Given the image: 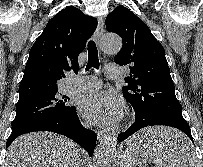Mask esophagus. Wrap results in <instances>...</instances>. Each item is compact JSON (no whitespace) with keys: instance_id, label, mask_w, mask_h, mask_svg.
Returning <instances> with one entry per match:
<instances>
[{"instance_id":"34e87169","label":"esophagus","mask_w":203,"mask_h":167,"mask_svg":"<svg viewBox=\"0 0 203 167\" xmlns=\"http://www.w3.org/2000/svg\"><path fill=\"white\" fill-rule=\"evenodd\" d=\"M103 32H104V23L103 20L101 18L98 19V27L97 30L95 32V40L98 44H100L101 42V38L103 36ZM107 137V133L104 131H98L97 133V139L99 141L104 140Z\"/></svg>"}]
</instances>
